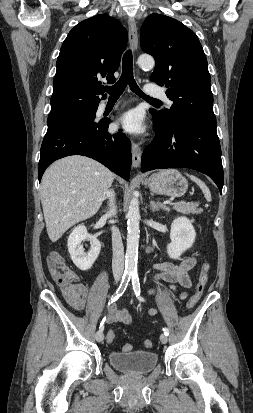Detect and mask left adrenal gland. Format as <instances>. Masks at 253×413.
Instances as JSON below:
<instances>
[{
  "mask_svg": "<svg viewBox=\"0 0 253 413\" xmlns=\"http://www.w3.org/2000/svg\"><path fill=\"white\" fill-rule=\"evenodd\" d=\"M150 209L152 212L158 211L159 209L169 211V208L166 205L160 202H155L154 200L150 201Z\"/></svg>",
  "mask_w": 253,
  "mask_h": 413,
  "instance_id": "obj_1",
  "label": "left adrenal gland"
}]
</instances>
